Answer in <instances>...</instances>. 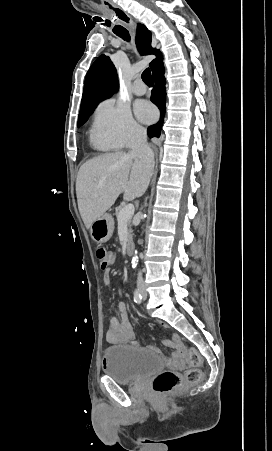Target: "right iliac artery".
Instances as JSON below:
<instances>
[{
	"mask_svg": "<svg viewBox=\"0 0 272 451\" xmlns=\"http://www.w3.org/2000/svg\"><path fill=\"white\" fill-rule=\"evenodd\" d=\"M134 302L140 304L142 302V295L139 291V289H135L133 294Z\"/></svg>",
	"mask_w": 272,
	"mask_h": 451,
	"instance_id": "1",
	"label": "right iliac artery"
}]
</instances>
